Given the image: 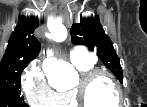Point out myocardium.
I'll return each instance as SVG.
<instances>
[{"label":"myocardium","instance_id":"1","mask_svg":"<svg viewBox=\"0 0 147 107\" xmlns=\"http://www.w3.org/2000/svg\"><path fill=\"white\" fill-rule=\"evenodd\" d=\"M100 78H107L116 88L118 95V105L123 103L122 89L117 79L107 71L94 69L86 74L81 75L79 81L72 89L78 107H91L88 103L87 94L90 87Z\"/></svg>","mask_w":147,"mask_h":107}]
</instances>
